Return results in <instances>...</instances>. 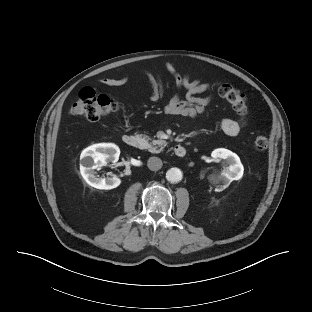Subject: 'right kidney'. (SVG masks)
<instances>
[{
  "instance_id": "right-kidney-1",
  "label": "right kidney",
  "mask_w": 312,
  "mask_h": 312,
  "mask_svg": "<svg viewBox=\"0 0 312 312\" xmlns=\"http://www.w3.org/2000/svg\"><path fill=\"white\" fill-rule=\"evenodd\" d=\"M120 150L112 143H101L84 149L80 155V172L86 183L97 189L110 190L120 185L117 176L100 178L95 175L94 169L105 166L108 161L116 162Z\"/></svg>"
}]
</instances>
